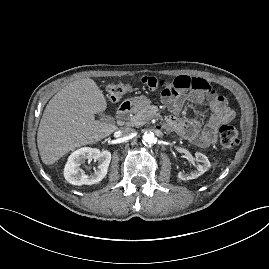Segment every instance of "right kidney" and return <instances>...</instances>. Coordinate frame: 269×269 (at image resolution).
I'll return each instance as SVG.
<instances>
[{
  "label": "right kidney",
  "mask_w": 269,
  "mask_h": 269,
  "mask_svg": "<svg viewBox=\"0 0 269 269\" xmlns=\"http://www.w3.org/2000/svg\"><path fill=\"white\" fill-rule=\"evenodd\" d=\"M87 159L98 162L97 169L95 168L94 173L89 175L85 174L80 167ZM110 161L109 151H100L90 147L80 148L69 156L64 169V177L70 184L78 186L98 183L106 176Z\"/></svg>",
  "instance_id": "1"
}]
</instances>
